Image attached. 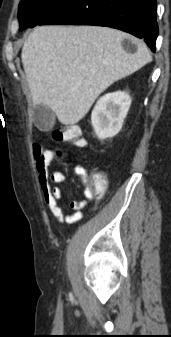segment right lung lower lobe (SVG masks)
Masks as SVG:
<instances>
[{
    "mask_svg": "<svg viewBox=\"0 0 171 337\" xmlns=\"http://www.w3.org/2000/svg\"><path fill=\"white\" fill-rule=\"evenodd\" d=\"M156 0H67L39 25H99L123 30L155 51L158 36Z\"/></svg>",
    "mask_w": 171,
    "mask_h": 337,
    "instance_id": "98d812e1",
    "label": "right lung lower lobe"
}]
</instances>
